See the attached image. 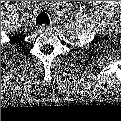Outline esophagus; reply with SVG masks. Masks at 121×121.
Returning a JSON list of instances; mask_svg holds the SVG:
<instances>
[{"mask_svg": "<svg viewBox=\"0 0 121 121\" xmlns=\"http://www.w3.org/2000/svg\"><path fill=\"white\" fill-rule=\"evenodd\" d=\"M42 31H46L49 29V27L46 24H43L40 28Z\"/></svg>", "mask_w": 121, "mask_h": 121, "instance_id": "esophagus-1", "label": "esophagus"}]
</instances>
